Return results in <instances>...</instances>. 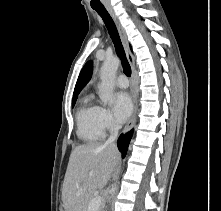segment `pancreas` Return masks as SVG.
<instances>
[{
  "label": "pancreas",
  "instance_id": "pancreas-1",
  "mask_svg": "<svg viewBox=\"0 0 221 211\" xmlns=\"http://www.w3.org/2000/svg\"><path fill=\"white\" fill-rule=\"evenodd\" d=\"M94 198V196L93 195H91L87 200H86V202H85V211H88V206H89V204H90V202H91V200ZM98 211H102V209H98Z\"/></svg>",
  "mask_w": 221,
  "mask_h": 211
}]
</instances>
